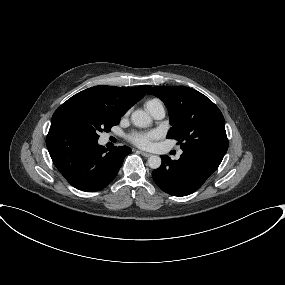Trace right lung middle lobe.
<instances>
[{
    "mask_svg": "<svg viewBox=\"0 0 285 285\" xmlns=\"http://www.w3.org/2000/svg\"><path fill=\"white\" fill-rule=\"evenodd\" d=\"M121 116L99 107L66 108L55 111L51 123L74 130L87 139L97 141L100 132L118 125Z\"/></svg>",
    "mask_w": 285,
    "mask_h": 285,
    "instance_id": "1",
    "label": "right lung middle lobe"
}]
</instances>
